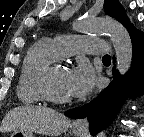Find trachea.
I'll use <instances>...</instances> for the list:
<instances>
[{"label":"trachea","instance_id":"3493384b","mask_svg":"<svg viewBox=\"0 0 144 137\" xmlns=\"http://www.w3.org/2000/svg\"><path fill=\"white\" fill-rule=\"evenodd\" d=\"M102 60H111L110 56L109 55H104Z\"/></svg>","mask_w":144,"mask_h":137}]
</instances>
